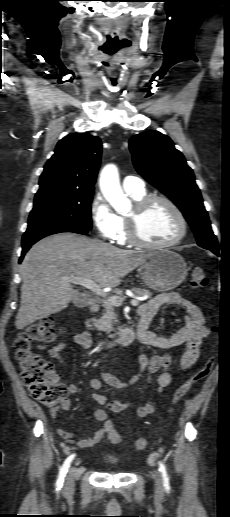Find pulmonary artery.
I'll use <instances>...</instances> for the list:
<instances>
[{
    "mask_svg": "<svg viewBox=\"0 0 230 517\" xmlns=\"http://www.w3.org/2000/svg\"><path fill=\"white\" fill-rule=\"evenodd\" d=\"M123 189L129 194H138L145 191V185L141 178L127 176L122 181Z\"/></svg>",
    "mask_w": 230,
    "mask_h": 517,
    "instance_id": "e3ab8cb5",
    "label": "pulmonary artery"
}]
</instances>
